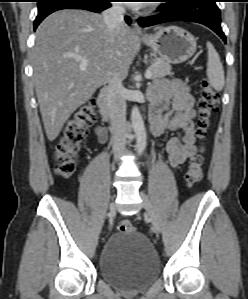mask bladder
Returning a JSON list of instances; mask_svg holds the SVG:
<instances>
[{"instance_id": "obj_1", "label": "bladder", "mask_w": 248, "mask_h": 299, "mask_svg": "<svg viewBox=\"0 0 248 299\" xmlns=\"http://www.w3.org/2000/svg\"><path fill=\"white\" fill-rule=\"evenodd\" d=\"M98 265L104 280L126 292L145 290L160 274L154 247L138 231L114 233L104 245Z\"/></svg>"}]
</instances>
